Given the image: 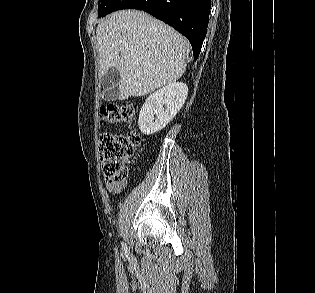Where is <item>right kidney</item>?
<instances>
[{
    "label": "right kidney",
    "instance_id": "ca27d5eb",
    "mask_svg": "<svg viewBox=\"0 0 315 293\" xmlns=\"http://www.w3.org/2000/svg\"><path fill=\"white\" fill-rule=\"evenodd\" d=\"M188 95V87L175 82L152 93L143 104L138 125L145 135L162 130L181 109Z\"/></svg>",
    "mask_w": 315,
    "mask_h": 293
}]
</instances>
